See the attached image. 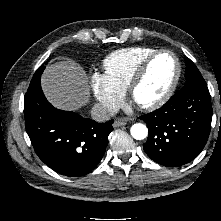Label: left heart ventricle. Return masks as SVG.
Masks as SVG:
<instances>
[{"label": "left heart ventricle", "instance_id": "obj_1", "mask_svg": "<svg viewBox=\"0 0 221 221\" xmlns=\"http://www.w3.org/2000/svg\"><path fill=\"white\" fill-rule=\"evenodd\" d=\"M175 70V61L170 54L164 53L156 57L135 92V101L150 102L162 95L170 85Z\"/></svg>", "mask_w": 221, "mask_h": 221}]
</instances>
